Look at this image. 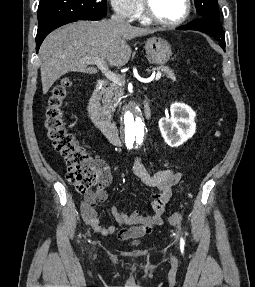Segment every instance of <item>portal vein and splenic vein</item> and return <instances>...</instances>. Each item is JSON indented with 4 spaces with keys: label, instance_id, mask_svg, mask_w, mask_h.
<instances>
[{
    "label": "portal vein and splenic vein",
    "instance_id": "portal-vein-and-splenic-vein-1",
    "mask_svg": "<svg viewBox=\"0 0 255 287\" xmlns=\"http://www.w3.org/2000/svg\"><path fill=\"white\" fill-rule=\"evenodd\" d=\"M85 64H96L97 68L103 72L104 76H106L107 80H110V82H114V84H120V82H123L124 78L123 76H117V74H113V72H110V70H107V66L104 62V58H84ZM162 76V72H157V74H152L150 78H147V80H144V78H141L139 82H152V80H160Z\"/></svg>",
    "mask_w": 255,
    "mask_h": 287
}]
</instances>
